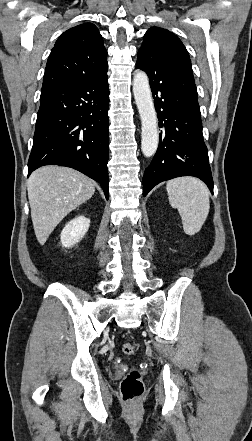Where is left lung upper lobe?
Here are the masks:
<instances>
[{
	"label": "left lung upper lobe",
	"instance_id": "1",
	"mask_svg": "<svg viewBox=\"0 0 252 441\" xmlns=\"http://www.w3.org/2000/svg\"><path fill=\"white\" fill-rule=\"evenodd\" d=\"M160 54L178 55L191 64L188 52L180 39L166 29L152 27L144 35L143 44L138 51V58L150 59Z\"/></svg>",
	"mask_w": 252,
	"mask_h": 441
}]
</instances>
